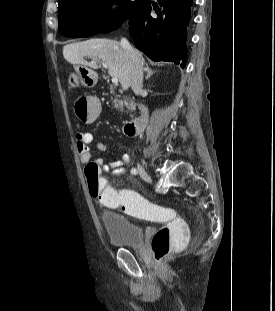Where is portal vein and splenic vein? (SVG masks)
Here are the masks:
<instances>
[{
  "instance_id": "portal-vein-and-splenic-vein-1",
  "label": "portal vein and splenic vein",
  "mask_w": 275,
  "mask_h": 311,
  "mask_svg": "<svg viewBox=\"0 0 275 311\" xmlns=\"http://www.w3.org/2000/svg\"><path fill=\"white\" fill-rule=\"evenodd\" d=\"M93 64H96V61L93 60L92 61ZM103 65H105L104 63H102ZM112 83L117 85L118 84V78L117 77H112Z\"/></svg>"
}]
</instances>
